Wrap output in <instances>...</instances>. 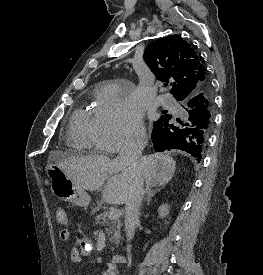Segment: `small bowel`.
<instances>
[{"mask_svg":"<svg viewBox=\"0 0 263 275\" xmlns=\"http://www.w3.org/2000/svg\"><path fill=\"white\" fill-rule=\"evenodd\" d=\"M63 231V230H62ZM62 231L60 233L62 240H69L71 237V232L69 229H65L66 237H62ZM92 251V242L88 237H81L77 240L76 244L71 248L69 252L70 260L73 263H80L87 257ZM116 269H111L109 266H106V269L103 271L102 275H116Z\"/></svg>","mask_w":263,"mask_h":275,"instance_id":"obj_1","label":"small bowel"}]
</instances>
